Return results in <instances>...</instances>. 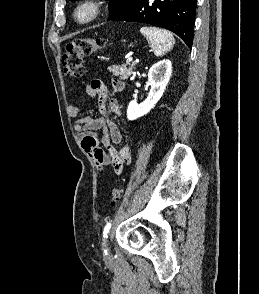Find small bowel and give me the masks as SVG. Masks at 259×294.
Here are the masks:
<instances>
[{
  "label": "small bowel",
  "mask_w": 259,
  "mask_h": 294,
  "mask_svg": "<svg viewBox=\"0 0 259 294\" xmlns=\"http://www.w3.org/2000/svg\"><path fill=\"white\" fill-rule=\"evenodd\" d=\"M124 89L121 80L112 81V90L120 92ZM87 95L98 100L99 117H82L74 121L73 131L79 138L84 151L89 154L99 168L111 166L116 174H121L125 165L131 163L132 153L129 145L116 150L114 145L124 141V135L118 126L109 119V114L121 115V106L115 99H110V91L103 81L93 79L86 87ZM79 109L76 105L68 107V114L77 117ZM100 133V138H98ZM99 145L104 146L107 152Z\"/></svg>",
  "instance_id": "c3829d8e"
}]
</instances>
